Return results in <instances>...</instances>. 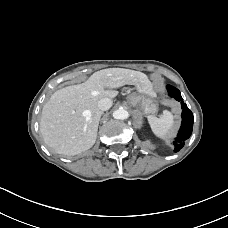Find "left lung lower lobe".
Here are the masks:
<instances>
[{
    "mask_svg": "<svg viewBox=\"0 0 228 228\" xmlns=\"http://www.w3.org/2000/svg\"><path fill=\"white\" fill-rule=\"evenodd\" d=\"M168 93L171 97H174L176 100L181 101L182 107V124L179 130V133L176 137L175 144V152L179 151L184 146V141L187 140L193 129V114L188 109L187 105L183 102L180 91L171 85H167Z\"/></svg>",
    "mask_w": 228,
    "mask_h": 228,
    "instance_id": "0a47b994",
    "label": "left lung lower lobe"
}]
</instances>
